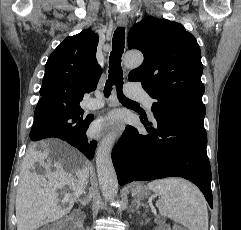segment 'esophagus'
<instances>
[{
  "label": "esophagus",
  "instance_id": "obj_1",
  "mask_svg": "<svg viewBox=\"0 0 241 230\" xmlns=\"http://www.w3.org/2000/svg\"><path fill=\"white\" fill-rule=\"evenodd\" d=\"M117 24L118 26L125 27L127 25V17L125 15H119L117 17ZM114 130L117 132V134H120L124 130V125L117 124L114 127Z\"/></svg>",
  "mask_w": 241,
  "mask_h": 230
}]
</instances>
